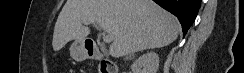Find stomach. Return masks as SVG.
<instances>
[{"label":"stomach","mask_w":244,"mask_h":73,"mask_svg":"<svg viewBox=\"0 0 244 73\" xmlns=\"http://www.w3.org/2000/svg\"><path fill=\"white\" fill-rule=\"evenodd\" d=\"M70 54L76 61H83L88 57V50L84 41H75L70 47Z\"/></svg>","instance_id":"obj_1"}]
</instances>
